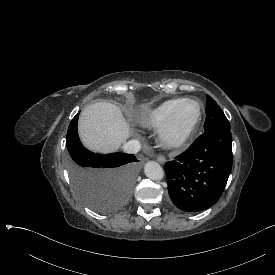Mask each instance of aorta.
I'll use <instances>...</instances> for the list:
<instances>
[{
  "instance_id": "762f6f07",
  "label": "aorta",
  "mask_w": 275,
  "mask_h": 275,
  "mask_svg": "<svg viewBox=\"0 0 275 275\" xmlns=\"http://www.w3.org/2000/svg\"><path fill=\"white\" fill-rule=\"evenodd\" d=\"M145 175L151 180H161L164 176L162 167L155 161H149L144 166Z\"/></svg>"
}]
</instances>
